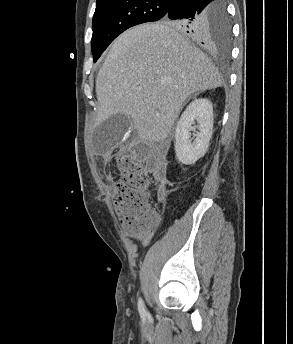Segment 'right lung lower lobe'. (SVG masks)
Returning <instances> with one entry per match:
<instances>
[{
    "mask_svg": "<svg viewBox=\"0 0 293 344\" xmlns=\"http://www.w3.org/2000/svg\"><path fill=\"white\" fill-rule=\"evenodd\" d=\"M217 2L218 0H174L165 19L180 22L181 29L194 41L210 45L207 20L218 6Z\"/></svg>",
    "mask_w": 293,
    "mask_h": 344,
    "instance_id": "right-lung-lower-lobe-1",
    "label": "right lung lower lobe"
}]
</instances>
